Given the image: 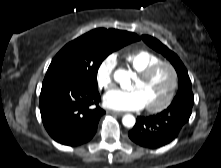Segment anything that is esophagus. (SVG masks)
<instances>
[{"label":"esophagus","instance_id":"obj_1","mask_svg":"<svg viewBox=\"0 0 221 168\" xmlns=\"http://www.w3.org/2000/svg\"><path fill=\"white\" fill-rule=\"evenodd\" d=\"M108 112L111 113V114H114V115H122L123 114L122 112L113 111V110H109Z\"/></svg>","mask_w":221,"mask_h":168}]
</instances>
